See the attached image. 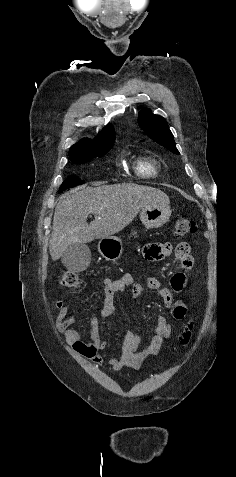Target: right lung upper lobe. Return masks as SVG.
Here are the masks:
<instances>
[{
  "instance_id": "cb5924a9",
  "label": "right lung upper lobe",
  "mask_w": 236,
  "mask_h": 477,
  "mask_svg": "<svg viewBox=\"0 0 236 477\" xmlns=\"http://www.w3.org/2000/svg\"><path fill=\"white\" fill-rule=\"evenodd\" d=\"M115 133L113 126L109 123L101 133L94 139H82L70 148V158L93 154L96 151L111 148L114 144Z\"/></svg>"
}]
</instances>
